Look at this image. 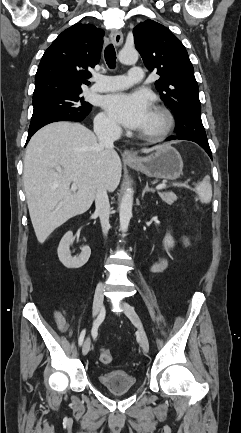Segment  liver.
Masks as SVG:
<instances>
[{"label": "liver", "instance_id": "1", "mask_svg": "<svg viewBox=\"0 0 241 433\" xmlns=\"http://www.w3.org/2000/svg\"><path fill=\"white\" fill-rule=\"evenodd\" d=\"M121 173V160L113 147L100 145L85 126L55 122L37 131L26 149L23 182L39 243L70 218L85 213L99 186L113 192ZM71 183L77 185V192L70 190Z\"/></svg>", "mask_w": 241, "mask_h": 433}]
</instances>
